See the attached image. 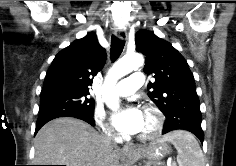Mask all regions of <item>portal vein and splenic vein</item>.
<instances>
[{
    "label": "portal vein and splenic vein",
    "instance_id": "1",
    "mask_svg": "<svg viewBox=\"0 0 236 166\" xmlns=\"http://www.w3.org/2000/svg\"><path fill=\"white\" fill-rule=\"evenodd\" d=\"M170 166H176V163H172Z\"/></svg>",
    "mask_w": 236,
    "mask_h": 166
}]
</instances>
